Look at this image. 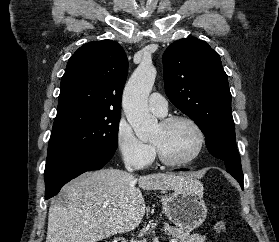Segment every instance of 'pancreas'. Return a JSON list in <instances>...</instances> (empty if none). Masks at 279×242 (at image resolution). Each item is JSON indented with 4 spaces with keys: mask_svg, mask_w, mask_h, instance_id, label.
Instances as JSON below:
<instances>
[{
    "mask_svg": "<svg viewBox=\"0 0 279 242\" xmlns=\"http://www.w3.org/2000/svg\"><path fill=\"white\" fill-rule=\"evenodd\" d=\"M163 231L173 238L178 239V242H205L206 237L199 234H190L189 231L183 230L178 227L170 226L165 224ZM135 242H145V241H135Z\"/></svg>",
    "mask_w": 279,
    "mask_h": 242,
    "instance_id": "pancreas-1",
    "label": "pancreas"
}]
</instances>
